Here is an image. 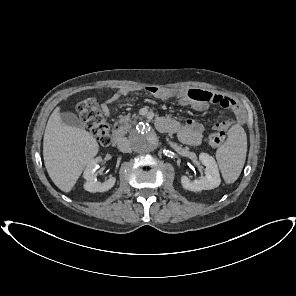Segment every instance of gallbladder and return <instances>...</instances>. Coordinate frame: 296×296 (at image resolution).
Listing matches in <instances>:
<instances>
[{
  "label": "gallbladder",
  "mask_w": 296,
  "mask_h": 296,
  "mask_svg": "<svg viewBox=\"0 0 296 296\" xmlns=\"http://www.w3.org/2000/svg\"><path fill=\"white\" fill-rule=\"evenodd\" d=\"M61 121L72 127L83 128L84 123L77 117L76 114L71 112H63L60 114Z\"/></svg>",
  "instance_id": "gallbladder-1"
}]
</instances>
